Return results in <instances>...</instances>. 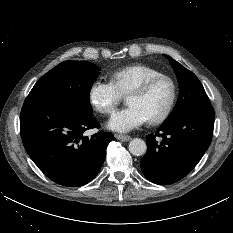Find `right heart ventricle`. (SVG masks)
Here are the masks:
<instances>
[{
    "mask_svg": "<svg viewBox=\"0 0 233 233\" xmlns=\"http://www.w3.org/2000/svg\"><path fill=\"white\" fill-rule=\"evenodd\" d=\"M162 74L156 68L144 64H133L117 69L111 74V82L122 94H128L134 87L148 78Z\"/></svg>",
    "mask_w": 233,
    "mask_h": 233,
    "instance_id": "1",
    "label": "right heart ventricle"
}]
</instances>
